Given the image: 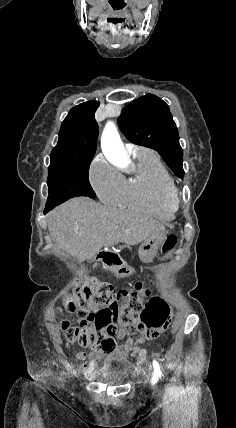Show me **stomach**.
Returning <instances> with one entry per match:
<instances>
[{"label": "stomach", "mask_w": 236, "mask_h": 428, "mask_svg": "<svg viewBox=\"0 0 236 428\" xmlns=\"http://www.w3.org/2000/svg\"><path fill=\"white\" fill-rule=\"evenodd\" d=\"M166 234H152L150 238L142 242L138 254L140 260L144 262H151L152 258H155L158 254V248L161 246ZM117 275L119 279L134 278L135 272L131 271L130 267L118 266Z\"/></svg>", "instance_id": "1"}]
</instances>
